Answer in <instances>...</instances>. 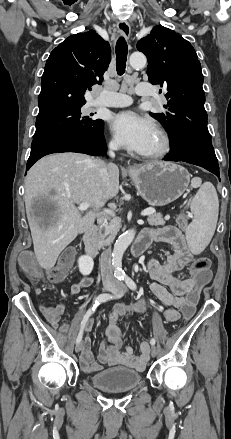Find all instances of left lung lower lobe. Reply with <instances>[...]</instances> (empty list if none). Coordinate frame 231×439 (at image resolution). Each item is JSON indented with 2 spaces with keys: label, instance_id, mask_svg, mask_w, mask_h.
I'll return each mask as SVG.
<instances>
[{
  "label": "left lung lower lobe",
  "instance_id": "left-lung-lower-lobe-1",
  "mask_svg": "<svg viewBox=\"0 0 231 439\" xmlns=\"http://www.w3.org/2000/svg\"><path fill=\"white\" fill-rule=\"evenodd\" d=\"M165 161H183L207 169L219 177L218 160L211 142L199 139H184L171 145ZM220 180V179H219Z\"/></svg>",
  "mask_w": 231,
  "mask_h": 439
}]
</instances>
